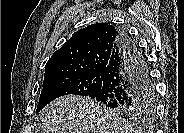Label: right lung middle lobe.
Segmentation results:
<instances>
[{
	"instance_id": "1",
	"label": "right lung middle lobe",
	"mask_w": 184,
	"mask_h": 133,
	"mask_svg": "<svg viewBox=\"0 0 184 133\" xmlns=\"http://www.w3.org/2000/svg\"><path fill=\"white\" fill-rule=\"evenodd\" d=\"M102 82L103 74L64 77L53 80L43 85L36 112H39L52 100L63 95L75 94L94 98L101 90ZM155 104V91L152 86L147 98L138 103L132 105H104L112 113L133 117H149L154 112Z\"/></svg>"
}]
</instances>
